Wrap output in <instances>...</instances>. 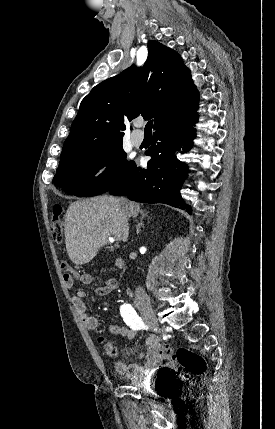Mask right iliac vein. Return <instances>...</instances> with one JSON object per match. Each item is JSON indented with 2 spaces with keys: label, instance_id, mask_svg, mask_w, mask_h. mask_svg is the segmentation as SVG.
Instances as JSON below:
<instances>
[{
  "label": "right iliac vein",
  "instance_id": "obj_1",
  "mask_svg": "<svg viewBox=\"0 0 275 429\" xmlns=\"http://www.w3.org/2000/svg\"><path fill=\"white\" fill-rule=\"evenodd\" d=\"M138 308L147 325H149L152 328H159L157 319L155 317L154 311L150 304L141 303L139 304Z\"/></svg>",
  "mask_w": 275,
  "mask_h": 429
}]
</instances>
